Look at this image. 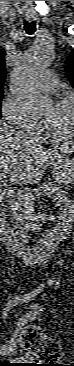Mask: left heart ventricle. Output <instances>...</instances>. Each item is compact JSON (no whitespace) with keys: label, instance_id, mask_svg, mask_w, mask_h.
<instances>
[{"label":"left heart ventricle","instance_id":"1","mask_svg":"<svg viewBox=\"0 0 74 366\" xmlns=\"http://www.w3.org/2000/svg\"><path fill=\"white\" fill-rule=\"evenodd\" d=\"M42 123L61 138L73 136L71 110L67 106H51L43 114Z\"/></svg>","mask_w":74,"mask_h":366}]
</instances>
